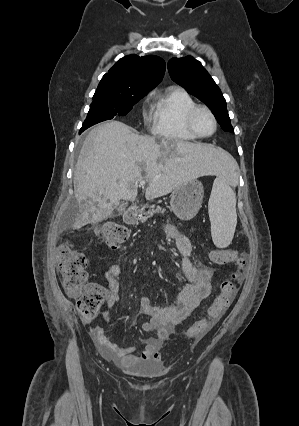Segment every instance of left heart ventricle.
<instances>
[{
  "mask_svg": "<svg viewBox=\"0 0 299 426\" xmlns=\"http://www.w3.org/2000/svg\"><path fill=\"white\" fill-rule=\"evenodd\" d=\"M195 126L199 133L203 135L211 134L214 124L211 117L206 112H200L195 118Z\"/></svg>",
  "mask_w": 299,
  "mask_h": 426,
  "instance_id": "obj_1",
  "label": "left heart ventricle"
}]
</instances>
